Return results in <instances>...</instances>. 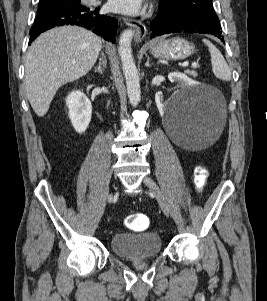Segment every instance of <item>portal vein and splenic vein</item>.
Returning a JSON list of instances; mask_svg holds the SVG:
<instances>
[{
	"label": "portal vein and splenic vein",
	"instance_id": "18ae733b",
	"mask_svg": "<svg viewBox=\"0 0 267 301\" xmlns=\"http://www.w3.org/2000/svg\"><path fill=\"white\" fill-rule=\"evenodd\" d=\"M186 65H188V64H184V66H186ZM191 66L194 68H197L199 65H198V63L194 62L191 64Z\"/></svg>",
	"mask_w": 267,
	"mask_h": 301
}]
</instances>
